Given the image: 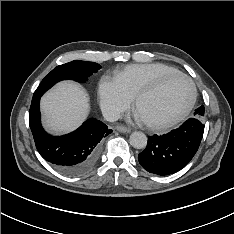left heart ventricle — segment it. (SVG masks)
<instances>
[{
  "instance_id": "obj_1",
  "label": "left heart ventricle",
  "mask_w": 234,
  "mask_h": 234,
  "mask_svg": "<svg viewBox=\"0 0 234 234\" xmlns=\"http://www.w3.org/2000/svg\"><path fill=\"white\" fill-rule=\"evenodd\" d=\"M190 84L183 78L174 77L158 90L144 97L137 112L144 121L160 122L177 116L190 101Z\"/></svg>"
}]
</instances>
